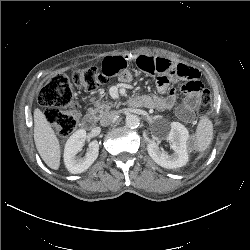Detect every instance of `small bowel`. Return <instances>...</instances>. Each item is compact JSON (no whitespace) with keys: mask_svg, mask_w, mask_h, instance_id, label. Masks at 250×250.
<instances>
[{"mask_svg":"<svg viewBox=\"0 0 250 250\" xmlns=\"http://www.w3.org/2000/svg\"><path fill=\"white\" fill-rule=\"evenodd\" d=\"M131 61H135L143 71L156 76L158 91L161 94V96L140 97L136 100V104L156 107L161 110H172L176 102V93L171 88V83L180 81L182 82L184 101L176 108V113L183 122H193L199 94L203 89L200 72L197 69L165 58L147 55L137 57L123 55L105 58L101 70L108 77L117 76L122 83H128L132 78L128 70Z\"/></svg>","mask_w":250,"mask_h":250,"instance_id":"c3829d8e","label":"small bowel"}]
</instances>
